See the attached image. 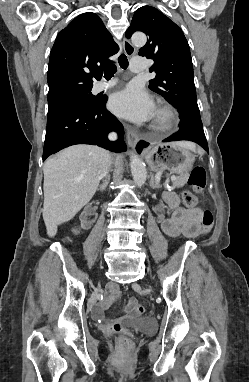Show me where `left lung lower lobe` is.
<instances>
[{"mask_svg":"<svg viewBox=\"0 0 249 382\" xmlns=\"http://www.w3.org/2000/svg\"><path fill=\"white\" fill-rule=\"evenodd\" d=\"M189 140L199 144L206 151H208V144L204 134L201 118L186 117L181 118L180 129L177 133L163 140V142ZM149 143L141 141L138 143L136 150L141 152L143 147L148 146Z\"/></svg>","mask_w":249,"mask_h":382,"instance_id":"0a47b994","label":"left lung lower lobe"}]
</instances>
